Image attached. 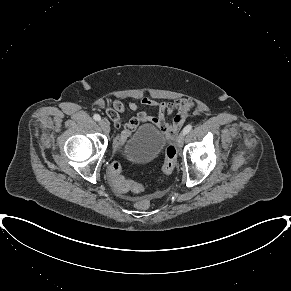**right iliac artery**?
Instances as JSON below:
<instances>
[{
	"instance_id": "82829eb1",
	"label": "right iliac artery",
	"mask_w": 291,
	"mask_h": 291,
	"mask_svg": "<svg viewBox=\"0 0 291 291\" xmlns=\"http://www.w3.org/2000/svg\"><path fill=\"white\" fill-rule=\"evenodd\" d=\"M93 118H94V120H96V121H100V120H101V117H100L99 114H94Z\"/></svg>"
}]
</instances>
